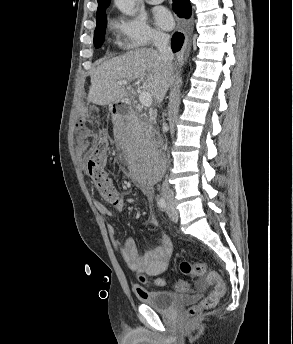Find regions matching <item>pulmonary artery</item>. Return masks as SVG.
Instances as JSON below:
<instances>
[{"instance_id": "1", "label": "pulmonary artery", "mask_w": 293, "mask_h": 344, "mask_svg": "<svg viewBox=\"0 0 293 344\" xmlns=\"http://www.w3.org/2000/svg\"><path fill=\"white\" fill-rule=\"evenodd\" d=\"M146 1L149 4H159V3L163 2V0H146Z\"/></svg>"}]
</instances>
